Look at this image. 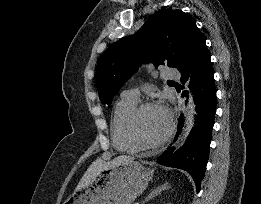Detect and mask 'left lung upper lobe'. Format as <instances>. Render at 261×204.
Instances as JSON below:
<instances>
[{
    "instance_id": "1",
    "label": "left lung upper lobe",
    "mask_w": 261,
    "mask_h": 204,
    "mask_svg": "<svg viewBox=\"0 0 261 204\" xmlns=\"http://www.w3.org/2000/svg\"><path fill=\"white\" fill-rule=\"evenodd\" d=\"M197 32L191 16L181 10L164 9L152 15L135 34L113 43L97 66L101 102L110 105L141 63L178 68Z\"/></svg>"
}]
</instances>
